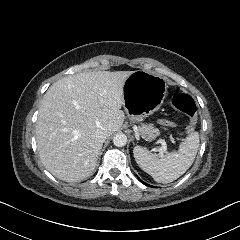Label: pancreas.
<instances>
[{
    "mask_svg": "<svg viewBox=\"0 0 240 240\" xmlns=\"http://www.w3.org/2000/svg\"><path fill=\"white\" fill-rule=\"evenodd\" d=\"M138 132L142 138L150 141L159 136L160 132L158 128H155L152 123L150 124H141L138 127Z\"/></svg>",
    "mask_w": 240,
    "mask_h": 240,
    "instance_id": "1",
    "label": "pancreas"
}]
</instances>
